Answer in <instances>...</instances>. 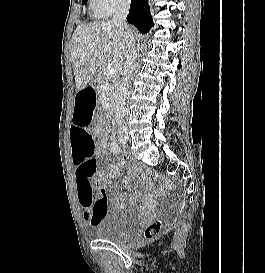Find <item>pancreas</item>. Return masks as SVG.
<instances>
[{"instance_id":"pancreas-1","label":"pancreas","mask_w":265,"mask_h":273,"mask_svg":"<svg viewBox=\"0 0 265 273\" xmlns=\"http://www.w3.org/2000/svg\"><path fill=\"white\" fill-rule=\"evenodd\" d=\"M107 65L105 64L103 68L99 71L96 79L97 88L100 90L102 87L107 89V94L109 95L110 100L113 98V93L116 92V87L120 82V74L114 73L112 75L107 74ZM115 90V92H114Z\"/></svg>"}]
</instances>
